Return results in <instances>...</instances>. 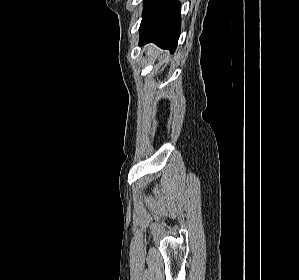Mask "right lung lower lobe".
I'll return each instance as SVG.
<instances>
[{
	"label": "right lung lower lobe",
	"mask_w": 299,
	"mask_h": 280,
	"mask_svg": "<svg viewBox=\"0 0 299 280\" xmlns=\"http://www.w3.org/2000/svg\"><path fill=\"white\" fill-rule=\"evenodd\" d=\"M180 23L178 0H145L139 45L153 42L174 53L180 36Z\"/></svg>",
	"instance_id": "right-lung-lower-lobe-1"
}]
</instances>
